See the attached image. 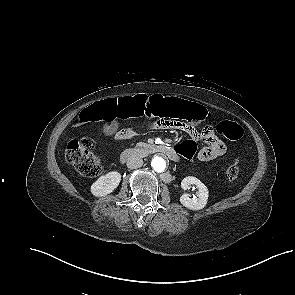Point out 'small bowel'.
Listing matches in <instances>:
<instances>
[{
    "mask_svg": "<svg viewBox=\"0 0 295 295\" xmlns=\"http://www.w3.org/2000/svg\"><path fill=\"white\" fill-rule=\"evenodd\" d=\"M151 127L175 129L195 140H201L204 146L197 153V158L200 161L208 162L215 160L226 152L225 144L215 136L211 126H206L199 132L192 125L180 121L174 122L169 118H155ZM102 131L105 135L113 137L116 141L120 142L129 140L135 135V130L133 128H123L117 123L104 125Z\"/></svg>",
    "mask_w": 295,
    "mask_h": 295,
    "instance_id": "small-bowel-1",
    "label": "small bowel"
}]
</instances>
